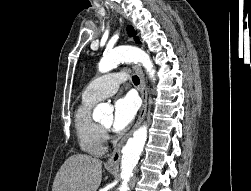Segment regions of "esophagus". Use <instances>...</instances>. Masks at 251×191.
I'll return each mask as SVG.
<instances>
[{"mask_svg":"<svg viewBox=\"0 0 251 191\" xmlns=\"http://www.w3.org/2000/svg\"><path fill=\"white\" fill-rule=\"evenodd\" d=\"M133 68L138 73V76L140 78V95L142 98V108L140 110V114L132 130L129 131V133L125 134V136H123V138L119 141L116 148L114 149L112 156H110V158L108 159L106 165L110 167L118 166L120 157H121L122 146L127 141V139L130 138V136L134 133V131L138 128V126L141 124L147 110V87H146L144 73L142 71L141 65L139 64L134 65Z\"/></svg>","mask_w":251,"mask_h":191,"instance_id":"1","label":"esophagus"}]
</instances>
